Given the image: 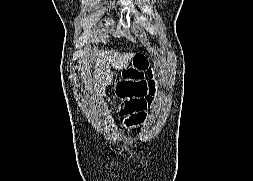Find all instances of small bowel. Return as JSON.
Segmentation results:
<instances>
[{
  "mask_svg": "<svg viewBox=\"0 0 253 181\" xmlns=\"http://www.w3.org/2000/svg\"><path fill=\"white\" fill-rule=\"evenodd\" d=\"M146 84H147L148 99L149 98L151 99L153 97L154 93H155V90H156V83L153 80L152 74L150 75V79L148 81H146Z\"/></svg>",
  "mask_w": 253,
  "mask_h": 181,
  "instance_id": "1",
  "label": "small bowel"
}]
</instances>
